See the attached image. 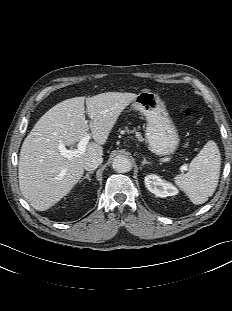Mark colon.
Listing matches in <instances>:
<instances>
[{
  "label": "colon",
  "mask_w": 232,
  "mask_h": 311,
  "mask_svg": "<svg viewBox=\"0 0 232 311\" xmlns=\"http://www.w3.org/2000/svg\"><path fill=\"white\" fill-rule=\"evenodd\" d=\"M185 114L189 117L192 116V110L190 108L185 109Z\"/></svg>",
  "instance_id": "1"
}]
</instances>
